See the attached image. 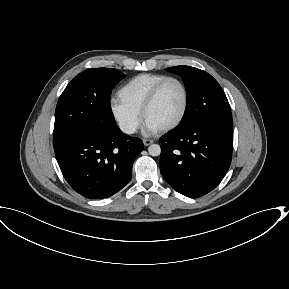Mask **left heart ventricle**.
I'll list each match as a JSON object with an SVG mask.
<instances>
[{
  "label": "left heart ventricle",
  "instance_id": "1",
  "mask_svg": "<svg viewBox=\"0 0 289 289\" xmlns=\"http://www.w3.org/2000/svg\"><path fill=\"white\" fill-rule=\"evenodd\" d=\"M183 100L181 87L176 82H168L147 112L146 121L160 129L171 124L180 115Z\"/></svg>",
  "mask_w": 289,
  "mask_h": 289
}]
</instances>
